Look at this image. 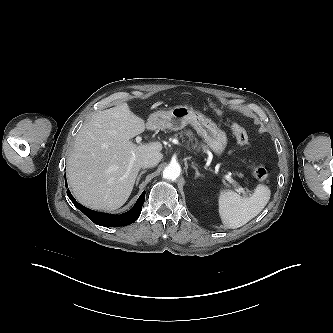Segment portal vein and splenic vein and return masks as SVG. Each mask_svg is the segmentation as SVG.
<instances>
[{
    "label": "portal vein and splenic vein",
    "instance_id": "portal-vein-and-splenic-vein-1",
    "mask_svg": "<svg viewBox=\"0 0 333 333\" xmlns=\"http://www.w3.org/2000/svg\"><path fill=\"white\" fill-rule=\"evenodd\" d=\"M141 137H136V142L137 143H140L141 142ZM224 178H225V180H227L230 184H232V185H234L235 187H236V191L239 193V194H246L245 193V190L241 187V186H239L238 184H237V182L230 176V175H228V174H226V175H224Z\"/></svg>",
    "mask_w": 333,
    "mask_h": 333
}]
</instances>
